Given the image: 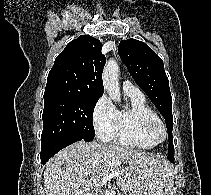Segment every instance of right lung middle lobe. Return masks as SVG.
<instances>
[{
  "instance_id": "1",
  "label": "right lung middle lobe",
  "mask_w": 211,
  "mask_h": 195,
  "mask_svg": "<svg viewBox=\"0 0 211 195\" xmlns=\"http://www.w3.org/2000/svg\"><path fill=\"white\" fill-rule=\"evenodd\" d=\"M98 99L61 92L44 94L41 145L70 137L92 141L93 111Z\"/></svg>"
}]
</instances>
